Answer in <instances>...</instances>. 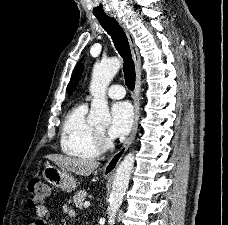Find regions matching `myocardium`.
I'll list each match as a JSON object with an SVG mask.
<instances>
[{
    "label": "myocardium",
    "mask_w": 228,
    "mask_h": 225,
    "mask_svg": "<svg viewBox=\"0 0 228 225\" xmlns=\"http://www.w3.org/2000/svg\"><path fill=\"white\" fill-rule=\"evenodd\" d=\"M98 132V144L101 150H107L110 147V143L103 138L102 131Z\"/></svg>",
    "instance_id": "myocardium-1"
}]
</instances>
